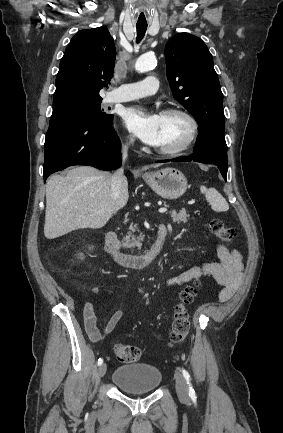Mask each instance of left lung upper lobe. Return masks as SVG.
Wrapping results in <instances>:
<instances>
[{"label": "left lung upper lobe", "mask_w": 283, "mask_h": 433, "mask_svg": "<svg viewBox=\"0 0 283 433\" xmlns=\"http://www.w3.org/2000/svg\"><path fill=\"white\" fill-rule=\"evenodd\" d=\"M167 77L174 98L190 112L199 131H225L223 94L205 43L188 33H178L165 46Z\"/></svg>", "instance_id": "1"}]
</instances>
